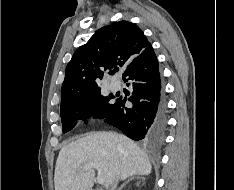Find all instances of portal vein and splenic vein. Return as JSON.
Returning a JSON list of instances; mask_svg holds the SVG:
<instances>
[{
  "mask_svg": "<svg viewBox=\"0 0 234 190\" xmlns=\"http://www.w3.org/2000/svg\"><path fill=\"white\" fill-rule=\"evenodd\" d=\"M90 169H96L98 171V175H97L98 183L103 184L105 181V178H104V175L101 171L100 165L98 163H88V164L83 166L84 171H88Z\"/></svg>",
  "mask_w": 234,
  "mask_h": 190,
  "instance_id": "18ae733b",
  "label": "portal vein and splenic vein"
}]
</instances>
